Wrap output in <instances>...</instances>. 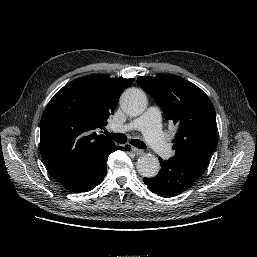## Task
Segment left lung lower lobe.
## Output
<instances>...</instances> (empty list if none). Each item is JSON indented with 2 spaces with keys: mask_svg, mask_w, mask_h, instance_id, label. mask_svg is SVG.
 <instances>
[{
  "mask_svg": "<svg viewBox=\"0 0 257 257\" xmlns=\"http://www.w3.org/2000/svg\"><path fill=\"white\" fill-rule=\"evenodd\" d=\"M157 176L144 178V183L151 192L162 197H171L191 187L205 169L200 168L186 158L173 156L163 161Z\"/></svg>",
  "mask_w": 257,
  "mask_h": 257,
  "instance_id": "0a47b994",
  "label": "left lung lower lobe"
}]
</instances>
